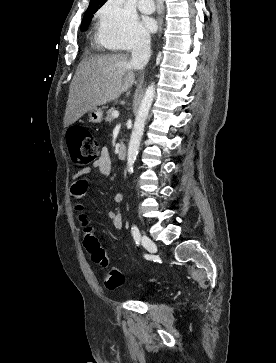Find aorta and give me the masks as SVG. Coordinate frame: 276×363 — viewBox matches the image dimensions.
I'll use <instances>...</instances> for the list:
<instances>
[{
	"mask_svg": "<svg viewBox=\"0 0 276 363\" xmlns=\"http://www.w3.org/2000/svg\"><path fill=\"white\" fill-rule=\"evenodd\" d=\"M154 96H155V84L151 83L147 87L143 99L140 103L128 147L127 170L129 173H133V165L136 160V156L139 150L141 138L145 127V122L148 117Z\"/></svg>",
	"mask_w": 276,
	"mask_h": 363,
	"instance_id": "obj_1",
	"label": "aorta"
}]
</instances>
